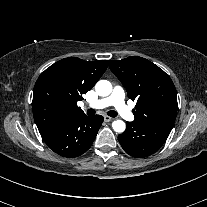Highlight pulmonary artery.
Masks as SVG:
<instances>
[{"mask_svg": "<svg viewBox=\"0 0 207 207\" xmlns=\"http://www.w3.org/2000/svg\"><path fill=\"white\" fill-rule=\"evenodd\" d=\"M111 105L116 108L121 116L127 120H133V115L130 113L124 102V90L119 86L115 87L108 97L93 101L88 104L89 107L94 109H102Z\"/></svg>", "mask_w": 207, "mask_h": 207, "instance_id": "1", "label": "pulmonary artery"}]
</instances>
